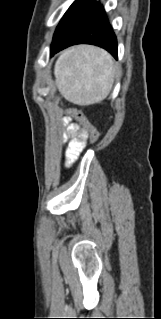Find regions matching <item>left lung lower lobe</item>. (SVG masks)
I'll return each mask as SVG.
<instances>
[{
	"label": "left lung lower lobe",
	"mask_w": 161,
	"mask_h": 319,
	"mask_svg": "<svg viewBox=\"0 0 161 319\" xmlns=\"http://www.w3.org/2000/svg\"><path fill=\"white\" fill-rule=\"evenodd\" d=\"M76 44H92L106 49L117 59V39L102 5H97L62 39L51 45V56Z\"/></svg>",
	"instance_id": "1"
}]
</instances>
